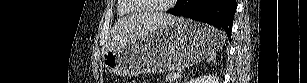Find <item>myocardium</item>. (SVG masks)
<instances>
[{
    "label": "myocardium",
    "mask_w": 307,
    "mask_h": 83,
    "mask_svg": "<svg viewBox=\"0 0 307 83\" xmlns=\"http://www.w3.org/2000/svg\"><path fill=\"white\" fill-rule=\"evenodd\" d=\"M177 0H170L169 2L165 3L163 6L158 7V8H153V9H148L145 6L141 5L140 0H129L133 6H135L140 12L144 13H150V14H159V13H164L166 12L170 7L171 4L176 2Z\"/></svg>",
    "instance_id": "1"
}]
</instances>
